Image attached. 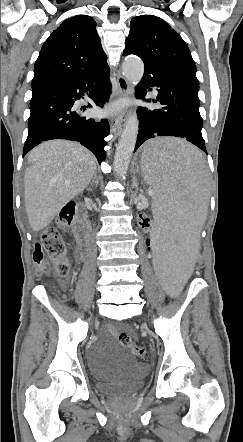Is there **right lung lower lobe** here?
<instances>
[{"label": "right lung lower lobe", "instance_id": "1", "mask_svg": "<svg viewBox=\"0 0 243 442\" xmlns=\"http://www.w3.org/2000/svg\"><path fill=\"white\" fill-rule=\"evenodd\" d=\"M109 67L83 76H67L32 84L29 132L23 156L42 141L67 139L78 141L91 150L99 164L105 159L104 138L109 134L105 120L96 122L76 112V101L86 92L97 106L109 98ZM87 106H84L85 110ZM89 107H92L89 104ZM82 110V108H81Z\"/></svg>", "mask_w": 243, "mask_h": 442}]
</instances>
